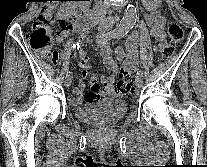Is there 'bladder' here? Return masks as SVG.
Segmentation results:
<instances>
[{
    "mask_svg": "<svg viewBox=\"0 0 207 167\" xmlns=\"http://www.w3.org/2000/svg\"><path fill=\"white\" fill-rule=\"evenodd\" d=\"M126 109V104L120 97L110 96L79 104L75 114L82 121L110 123L121 118L126 113Z\"/></svg>",
    "mask_w": 207,
    "mask_h": 167,
    "instance_id": "bladder-1",
    "label": "bladder"
}]
</instances>
